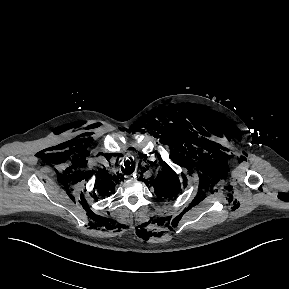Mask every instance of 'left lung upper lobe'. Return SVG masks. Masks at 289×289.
<instances>
[{
	"label": "left lung upper lobe",
	"instance_id": "5c2ea615",
	"mask_svg": "<svg viewBox=\"0 0 289 289\" xmlns=\"http://www.w3.org/2000/svg\"><path fill=\"white\" fill-rule=\"evenodd\" d=\"M157 178L153 181V187L158 198H172L180 191L181 183L176 173L169 166L163 165Z\"/></svg>",
	"mask_w": 289,
	"mask_h": 289
}]
</instances>
